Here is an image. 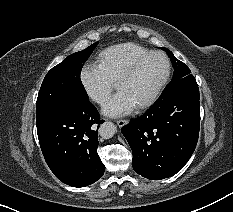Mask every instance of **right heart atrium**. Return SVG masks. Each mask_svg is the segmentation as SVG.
<instances>
[{"label":"right heart atrium","instance_id":"obj_1","mask_svg":"<svg viewBox=\"0 0 233 212\" xmlns=\"http://www.w3.org/2000/svg\"><path fill=\"white\" fill-rule=\"evenodd\" d=\"M85 94L95 103L104 104L115 87L98 64H86L79 75Z\"/></svg>","mask_w":233,"mask_h":212}]
</instances>
